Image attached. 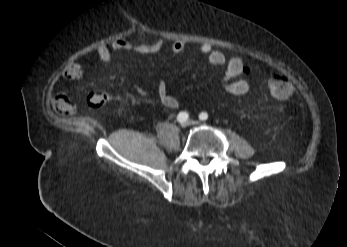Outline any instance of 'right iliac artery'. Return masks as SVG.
Returning <instances> with one entry per match:
<instances>
[{"label": "right iliac artery", "instance_id": "82829eb1", "mask_svg": "<svg viewBox=\"0 0 347 247\" xmlns=\"http://www.w3.org/2000/svg\"><path fill=\"white\" fill-rule=\"evenodd\" d=\"M189 118V114L187 112H180L178 115H177V120L180 122V123H184L188 120Z\"/></svg>", "mask_w": 347, "mask_h": 247}]
</instances>
